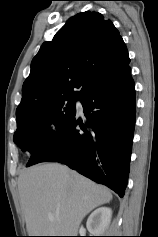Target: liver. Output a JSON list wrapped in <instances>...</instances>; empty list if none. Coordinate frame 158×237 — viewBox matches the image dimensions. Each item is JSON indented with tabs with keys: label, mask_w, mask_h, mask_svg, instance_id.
Returning <instances> with one entry per match:
<instances>
[{
	"label": "liver",
	"mask_w": 158,
	"mask_h": 237,
	"mask_svg": "<svg viewBox=\"0 0 158 237\" xmlns=\"http://www.w3.org/2000/svg\"><path fill=\"white\" fill-rule=\"evenodd\" d=\"M18 190L29 236H76L83 218L112 199L108 188L58 163L23 170Z\"/></svg>",
	"instance_id": "liver-1"
}]
</instances>
